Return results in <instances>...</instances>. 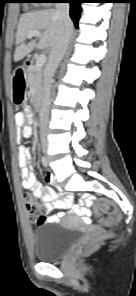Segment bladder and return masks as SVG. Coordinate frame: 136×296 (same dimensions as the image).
Instances as JSON below:
<instances>
[{
    "label": "bladder",
    "instance_id": "obj_1",
    "mask_svg": "<svg viewBox=\"0 0 136 296\" xmlns=\"http://www.w3.org/2000/svg\"><path fill=\"white\" fill-rule=\"evenodd\" d=\"M79 238L78 229L61 224H43L31 234L33 253L38 261L54 262L62 258Z\"/></svg>",
    "mask_w": 136,
    "mask_h": 296
}]
</instances>
